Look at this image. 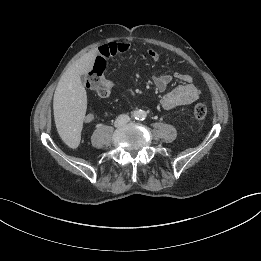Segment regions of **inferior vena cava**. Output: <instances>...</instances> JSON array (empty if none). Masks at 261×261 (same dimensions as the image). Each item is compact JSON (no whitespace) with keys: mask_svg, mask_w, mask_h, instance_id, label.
<instances>
[{"mask_svg":"<svg viewBox=\"0 0 261 261\" xmlns=\"http://www.w3.org/2000/svg\"><path fill=\"white\" fill-rule=\"evenodd\" d=\"M129 121H130V117L127 114H121L118 116L115 123L117 125H124Z\"/></svg>","mask_w":261,"mask_h":261,"instance_id":"obj_1","label":"inferior vena cava"}]
</instances>
